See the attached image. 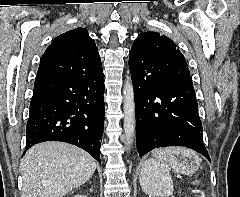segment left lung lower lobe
<instances>
[{
	"label": "left lung lower lobe",
	"instance_id": "obj_1",
	"mask_svg": "<svg viewBox=\"0 0 240 197\" xmlns=\"http://www.w3.org/2000/svg\"><path fill=\"white\" fill-rule=\"evenodd\" d=\"M151 72L131 71L139 156L158 147L185 146L210 161L192 81Z\"/></svg>",
	"mask_w": 240,
	"mask_h": 197
}]
</instances>
